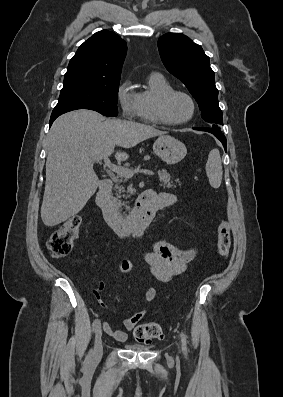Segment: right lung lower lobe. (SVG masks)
Segmentation results:
<instances>
[{
  "label": "right lung lower lobe",
  "mask_w": 283,
  "mask_h": 397,
  "mask_svg": "<svg viewBox=\"0 0 283 397\" xmlns=\"http://www.w3.org/2000/svg\"><path fill=\"white\" fill-rule=\"evenodd\" d=\"M72 110H76V109H54L52 114H51V118H50V126L52 125V123L54 122V120L60 116L63 113L72 111Z\"/></svg>",
  "instance_id": "98d812e1"
}]
</instances>
